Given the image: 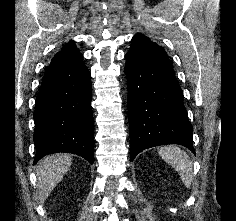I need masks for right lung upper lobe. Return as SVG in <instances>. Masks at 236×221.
Wrapping results in <instances>:
<instances>
[{
    "label": "right lung upper lobe",
    "mask_w": 236,
    "mask_h": 221,
    "mask_svg": "<svg viewBox=\"0 0 236 221\" xmlns=\"http://www.w3.org/2000/svg\"><path fill=\"white\" fill-rule=\"evenodd\" d=\"M82 56L79 51L77 50L75 44L73 41H70L67 43L61 51H59L51 60V63L49 66L59 64L64 61H68L71 59H74L76 57ZM48 66V67H49Z\"/></svg>",
    "instance_id": "1"
}]
</instances>
